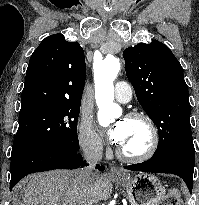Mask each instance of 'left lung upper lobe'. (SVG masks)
<instances>
[{
	"mask_svg": "<svg viewBox=\"0 0 199 205\" xmlns=\"http://www.w3.org/2000/svg\"><path fill=\"white\" fill-rule=\"evenodd\" d=\"M123 57L137 99L159 131V145L152 158L180 150L195 151L188 87L171 50L153 40L125 49Z\"/></svg>",
	"mask_w": 199,
	"mask_h": 205,
	"instance_id": "obj_1",
	"label": "left lung upper lobe"
}]
</instances>
